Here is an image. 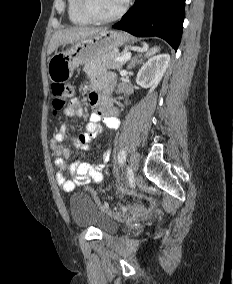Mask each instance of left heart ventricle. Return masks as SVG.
Listing matches in <instances>:
<instances>
[{
	"mask_svg": "<svg viewBox=\"0 0 233 284\" xmlns=\"http://www.w3.org/2000/svg\"><path fill=\"white\" fill-rule=\"evenodd\" d=\"M123 2V0H92V7L101 16H111L122 7Z\"/></svg>",
	"mask_w": 233,
	"mask_h": 284,
	"instance_id": "1",
	"label": "left heart ventricle"
}]
</instances>
